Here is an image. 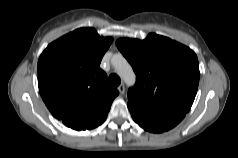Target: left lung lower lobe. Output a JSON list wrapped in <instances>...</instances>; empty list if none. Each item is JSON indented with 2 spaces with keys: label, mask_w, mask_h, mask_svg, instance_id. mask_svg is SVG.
<instances>
[{
  "label": "left lung lower lobe",
  "mask_w": 238,
  "mask_h": 158,
  "mask_svg": "<svg viewBox=\"0 0 238 158\" xmlns=\"http://www.w3.org/2000/svg\"><path fill=\"white\" fill-rule=\"evenodd\" d=\"M128 108L133 120L138 125H140L145 130L154 133H161L170 130L176 126L187 113L183 111L149 113L137 109L130 103H128Z\"/></svg>",
  "instance_id": "left-lung-lower-lobe-1"
}]
</instances>
